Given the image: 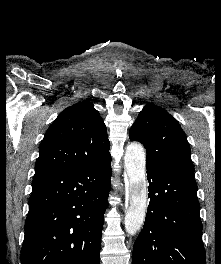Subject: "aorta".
I'll list each match as a JSON object with an SVG mask.
<instances>
[{"mask_svg":"<svg viewBox=\"0 0 221 264\" xmlns=\"http://www.w3.org/2000/svg\"><path fill=\"white\" fill-rule=\"evenodd\" d=\"M124 162L127 173L126 195L129 200L125 230L129 235H135L143 226L147 211L146 153L143 146L138 143L129 144Z\"/></svg>","mask_w":221,"mask_h":264,"instance_id":"obj_1","label":"aorta"}]
</instances>
